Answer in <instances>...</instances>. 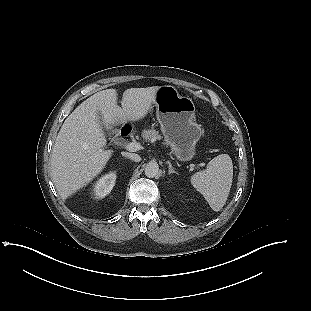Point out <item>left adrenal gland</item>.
Masks as SVG:
<instances>
[{
    "instance_id": "1",
    "label": "left adrenal gland",
    "mask_w": 311,
    "mask_h": 311,
    "mask_svg": "<svg viewBox=\"0 0 311 311\" xmlns=\"http://www.w3.org/2000/svg\"><path fill=\"white\" fill-rule=\"evenodd\" d=\"M167 164H168V168H169V174H172V173H176V174H178L175 170H174V168L172 167V164H171V162H166Z\"/></svg>"
}]
</instances>
